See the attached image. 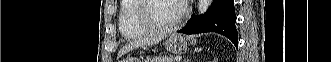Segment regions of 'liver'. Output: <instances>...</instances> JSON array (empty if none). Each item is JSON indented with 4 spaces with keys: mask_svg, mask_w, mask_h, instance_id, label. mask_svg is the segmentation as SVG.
I'll return each mask as SVG.
<instances>
[{
    "mask_svg": "<svg viewBox=\"0 0 331 62\" xmlns=\"http://www.w3.org/2000/svg\"><path fill=\"white\" fill-rule=\"evenodd\" d=\"M164 39V35H158V36H151V37H146V38H141L138 40H134L128 44H126L119 52L118 57L122 56L123 54L138 48L142 46H152Z\"/></svg>",
    "mask_w": 331,
    "mask_h": 62,
    "instance_id": "obj_1",
    "label": "liver"
}]
</instances>
